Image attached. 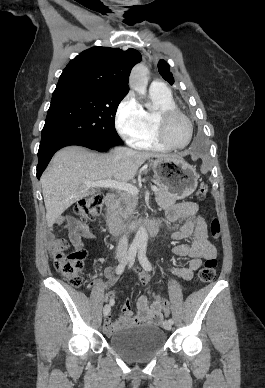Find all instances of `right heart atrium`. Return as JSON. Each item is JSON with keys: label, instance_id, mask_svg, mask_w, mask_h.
<instances>
[{"label": "right heart atrium", "instance_id": "right-heart-atrium-1", "mask_svg": "<svg viewBox=\"0 0 265 388\" xmlns=\"http://www.w3.org/2000/svg\"><path fill=\"white\" fill-rule=\"evenodd\" d=\"M120 134L133 141L145 127L144 109L133 94H128L119 105L116 117Z\"/></svg>", "mask_w": 265, "mask_h": 388}]
</instances>
